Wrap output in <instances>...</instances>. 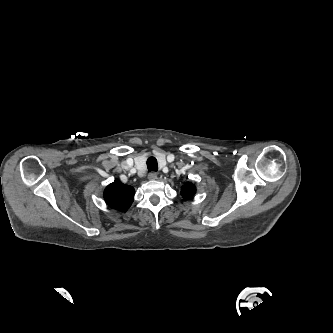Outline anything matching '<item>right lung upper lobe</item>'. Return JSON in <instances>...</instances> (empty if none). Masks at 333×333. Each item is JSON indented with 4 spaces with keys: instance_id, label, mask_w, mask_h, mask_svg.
Here are the masks:
<instances>
[{
    "instance_id": "1",
    "label": "right lung upper lobe",
    "mask_w": 333,
    "mask_h": 333,
    "mask_svg": "<svg viewBox=\"0 0 333 333\" xmlns=\"http://www.w3.org/2000/svg\"><path fill=\"white\" fill-rule=\"evenodd\" d=\"M135 191L132 187L114 181L104 190V200L111 207L118 211L127 210L134 200Z\"/></svg>"
}]
</instances>
